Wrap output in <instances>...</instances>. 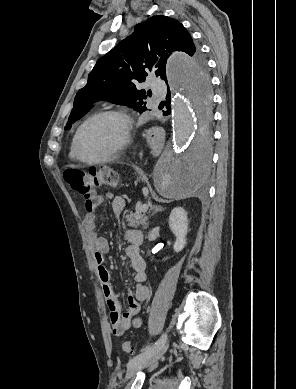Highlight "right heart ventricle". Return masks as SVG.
I'll return each instance as SVG.
<instances>
[{"mask_svg": "<svg viewBox=\"0 0 296 389\" xmlns=\"http://www.w3.org/2000/svg\"><path fill=\"white\" fill-rule=\"evenodd\" d=\"M74 139H75V137L72 140L71 147H70V152H69V156L73 160L76 159L75 152H74Z\"/></svg>", "mask_w": 296, "mask_h": 389, "instance_id": "e07e8e85", "label": "right heart ventricle"}]
</instances>
